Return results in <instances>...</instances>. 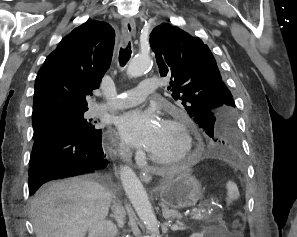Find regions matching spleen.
I'll return each mask as SVG.
<instances>
[{
    "instance_id": "3e777b00",
    "label": "spleen",
    "mask_w": 297,
    "mask_h": 237,
    "mask_svg": "<svg viewBox=\"0 0 297 237\" xmlns=\"http://www.w3.org/2000/svg\"><path fill=\"white\" fill-rule=\"evenodd\" d=\"M228 197L230 199H236L239 196L238 188L235 183L228 181L226 184Z\"/></svg>"
}]
</instances>
